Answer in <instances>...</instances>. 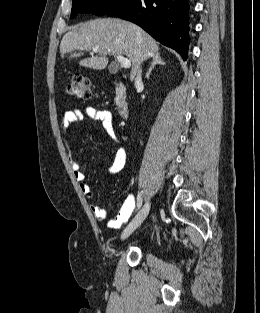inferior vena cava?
<instances>
[{
    "mask_svg": "<svg viewBox=\"0 0 260 313\" xmlns=\"http://www.w3.org/2000/svg\"><path fill=\"white\" fill-rule=\"evenodd\" d=\"M142 84V79H141V69H139L137 76L135 78V86H139Z\"/></svg>",
    "mask_w": 260,
    "mask_h": 313,
    "instance_id": "602c4592",
    "label": "inferior vena cava"
}]
</instances>
